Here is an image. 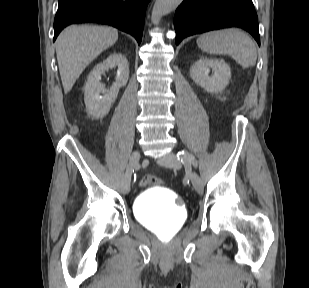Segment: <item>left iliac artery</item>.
Segmentation results:
<instances>
[{"label":"left iliac artery","mask_w":309,"mask_h":288,"mask_svg":"<svg viewBox=\"0 0 309 288\" xmlns=\"http://www.w3.org/2000/svg\"><path fill=\"white\" fill-rule=\"evenodd\" d=\"M177 157L182 163L184 164L191 163L194 167H197V161L195 160L194 156L191 155L190 153L182 150L177 153Z\"/></svg>","instance_id":"44dca946"}]
</instances>
